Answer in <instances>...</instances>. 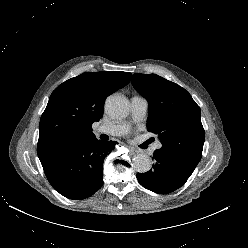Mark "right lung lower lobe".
<instances>
[{"label": "right lung lower lobe", "mask_w": 248, "mask_h": 248, "mask_svg": "<svg viewBox=\"0 0 248 248\" xmlns=\"http://www.w3.org/2000/svg\"><path fill=\"white\" fill-rule=\"evenodd\" d=\"M116 143L97 140L95 135L79 136L64 142L40 161L56 191L80 200L103 185V161Z\"/></svg>", "instance_id": "obj_1"}]
</instances>
